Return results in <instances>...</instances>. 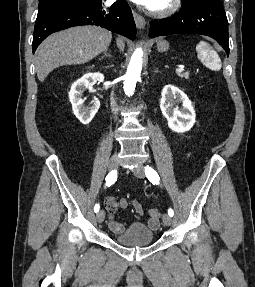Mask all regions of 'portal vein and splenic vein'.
Listing matches in <instances>:
<instances>
[{"label":"portal vein and splenic vein","instance_id":"obj_1","mask_svg":"<svg viewBox=\"0 0 255 287\" xmlns=\"http://www.w3.org/2000/svg\"><path fill=\"white\" fill-rule=\"evenodd\" d=\"M184 68L183 66H178L176 72H183Z\"/></svg>","mask_w":255,"mask_h":287}]
</instances>
